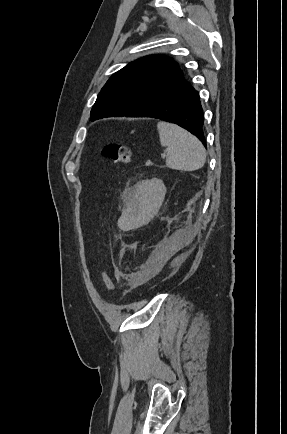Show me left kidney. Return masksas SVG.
I'll list each match as a JSON object with an SVG mask.
<instances>
[{
  "instance_id": "obj_1",
  "label": "left kidney",
  "mask_w": 287,
  "mask_h": 434,
  "mask_svg": "<svg viewBox=\"0 0 287 434\" xmlns=\"http://www.w3.org/2000/svg\"><path fill=\"white\" fill-rule=\"evenodd\" d=\"M166 194V187L162 180L153 178L143 180L128 190L125 201L127 214L131 218L148 221L158 211Z\"/></svg>"
}]
</instances>
